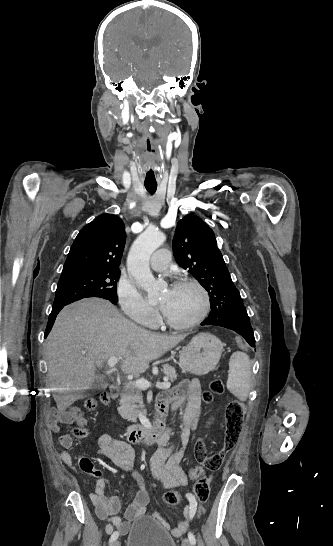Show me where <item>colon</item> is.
Segmentation results:
<instances>
[{
	"instance_id": "obj_1",
	"label": "colon",
	"mask_w": 333,
	"mask_h": 546,
	"mask_svg": "<svg viewBox=\"0 0 333 546\" xmlns=\"http://www.w3.org/2000/svg\"><path fill=\"white\" fill-rule=\"evenodd\" d=\"M224 392V384L221 380L216 379L211 381L209 390L202 393V401L209 403L214 395H220ZM111 396L107 391H103L100 395V401L104 404L109 403ZM84 407L87 410H94L97 407V401L94 398H88L84 402ZM245 410L244 406L239 401H231L225 410V435L222 447L213 453H208L205 442L199 439L195 445L194 453L199 466L190 470L189 473L196 476L193 486V493L197 502L203 503L208 499L210 486L206 477L207 471H218L229 452H231L238 443L240 434L243 429ZM73 434L78 438L86 437L88 431L83 426L73 430ZM164 502L169 506L177 505L181 497L178 493L170 491L164 494Z\"/></svg>"
}]
</instances>
